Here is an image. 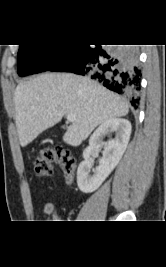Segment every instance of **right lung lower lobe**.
Listing matches in <instances>:
<instances>
[{
	"label": "right lung lower lobe",
	"mask_w": 166,
	"mask_h": 267,
	"mask_svg": "<svg viewBox=\"0 0 166 267\" xmlns=\"http://www.w3.org/2000/svg\"><path fill=\"white\" fill-rule=\"evenodd\" d=\"M48 70L87 75L108 89L139 102L141 71L134 47L105 49L90 45H69L63 56Z\"/></svg>",
	"instance_id": "right-lung-lower-lobe-1"
}]
</instances>
